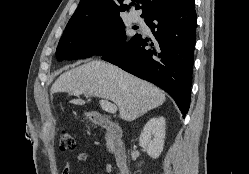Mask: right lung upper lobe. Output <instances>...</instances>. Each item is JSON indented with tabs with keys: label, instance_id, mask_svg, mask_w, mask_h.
<instances>
[{
	"label": "right lung upper lobe",
	"instance_id": "1",
	"mask_svg": "<svg viewBox=\"0 0 249 174\" xmlns=\"http://www.w3.org/2000/svg\"><path fill=\"white\" fill-rule=\"evenodd\" d=\"M125 0H81L67 26L120 17L129 6ZM130 6L143 9L141 17L147 18L157 11L184 5L193 0H132Z\"/></svg>",
	"mask_w": 249,
	"mask_h": 174
}]
</instances>
